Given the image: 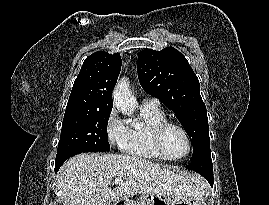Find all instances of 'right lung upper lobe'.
<instances>
[{"instance_id":"right-lung-upper-lobe-1","label":"right lung upper lobe","mask_w":269,"mask_h":205,"mask_svg":"<svg viewBox=\"0 0 269 205\" xmlns=\"http://www.w3.org/2000/svg\"><path fill=\"white\" fill-rule=\"evenodd\" d=\"M120 70L119 53L97 51L87 57L74 82L67 107L112 110V89Z\"/></svg>"}]
</instances>
